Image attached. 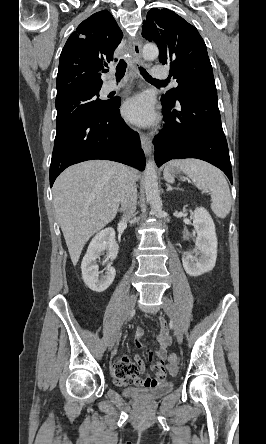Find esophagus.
I'll return each instance as SVG.
<instances>
[{
	"instance_id": "34e87169",
	"label": "esophagus",
	"mask_w": 266,
	"mask_h": 444,
	"mask_svg": "<svg viewBox=\"0 0 266 444\" xmlns=\"http://www.w3.org/2000/svg\"><path fill=\"white\" fill-rule=\"evenodd\" d=\"M141 43L139 40H135L132 44L133 60L138 61L141 59ZM141 145L144 153L149 155L152 150L151 138L145 133H140Z\"/></svg>"
}]
</instances>
